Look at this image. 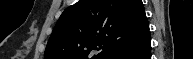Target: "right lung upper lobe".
<instances>
[{
	"label": "right lung upper lobe",
	"mask_w": 193,
	"mask_h": 59,
	"mask_svg": "<svg viewBox=\"0 0 193 59\" xmlns=\"http://www.w3.org/2000/svg\"><path fill=\"white\" fill-rule=\"evenodd\" d=\"M149 32L141 0H79L65 9L47 43L44 59H110Z\"/></svg>",
	"instance_id": "cb5924a9"
}]
</instances>
